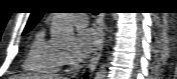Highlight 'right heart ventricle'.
I'll list each match as a JSON object with an SVG mask.
<instances>
[{"label":"right heart ventricle","instance_id":"obj_1","mask_svg":"<svg viewBox=\"0 0 177 79\" xmlns=\"http://www.w3.org/2000/svg\"><path fill=\"white\" fill-rule=\"evenodd\" d=\"M60 57L61 51L49 44L45 39V32L40 30L26 53L23 67L34 73L54 74L61 66Z\"/></svg>","mask_w":177,"mask_h":79}]
</instances>
